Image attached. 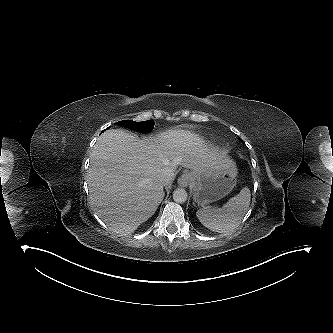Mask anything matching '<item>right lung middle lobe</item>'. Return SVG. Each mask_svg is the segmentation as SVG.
Instances as JSON below:
<instances>
[{"label":"right lung middle lobe","instance_id":"obj_1","mask_svg":"<svg viewBox=\"0 0 333 333\" xmlns=\"http://www.w3.org/2000/svg\"><path fill=\"white\" fill-rule=\"evenodd\" d=\"M117 124L127 127L129 129H133L135 131H139L142 133H148V132L152 131L155 123H154V120H148V121H142V122L123 120V121L117 122Z\"/></svg>","mask_w":333,"mask_h":333}]
</instances>
